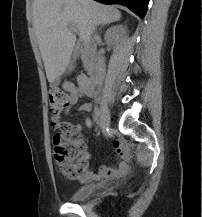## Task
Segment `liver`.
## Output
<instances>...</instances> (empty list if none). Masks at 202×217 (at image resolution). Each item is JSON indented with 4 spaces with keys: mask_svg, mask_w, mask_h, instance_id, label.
I'll list each match as a JSON object with an SVG mask.
<instances>
[{
    "mask_svg": "<svg viewBox=\"0 0 202 217\" xmlns=\"http://www.w3.org/2000/svg\"><path fill=\"white\" fill-rule=\"evenodd\" d=\"M32 8L33 26L50 83L70 62L76 37L69 25L78 29L81 41L89 42L95 26L121 17L118 9L94 0H34Z\"/></svg>",
    "mask_w": 202,
    "mask_h": 217,
    "instance_id": "obj_1",
    "label": "liver"
}]
</instances>
